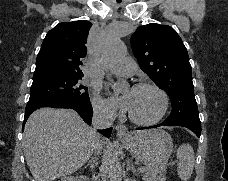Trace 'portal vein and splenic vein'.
Returning a JSON list of instances; mask_svg holds the SVG:
<instances>
[{
    "instance_id": "18ae733b",
    "label": "portal vein and splenic vein",
    "mask_w": 228,
    "mask_h": 181,
    "mask_svg": "<svg viewBox=\"0 0 228 181\" xmlns=\"http://www.w3.org/2000/svg\"><path fill=\"white\" fill-rule=\"evenodd\" d=\"M137 170H138V174H143V169L141 166H138Z\"/></svg>"
}]
</instances>
